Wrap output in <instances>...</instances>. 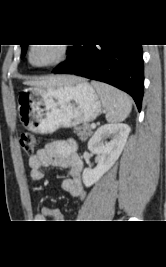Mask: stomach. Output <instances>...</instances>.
Listing matches in <instances>:
<instances>
[{
  "label": "stomach",
  "instance_id": "1",
  "mask_svg": "<svg viewBox=\"0 0 166 267\" xmlns=\"http://www.w3.org/2000/svg\"><path fill=\"white\" fill-rule=\"evenodd\" d=\"M103 110L99 94L86 81L73 85L30 87L18 97V115L23 127L51 134L95 120Z\"/></svg>",
  "mask_w": 166,
  "mask_h": 267
}]
</instances>
